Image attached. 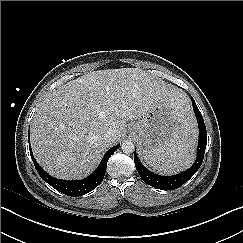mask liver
Returning a JSON list of instances; mask_svg holds the SVG:
<instances>
[{
  "label": "liver",
  "instance_id": "liver-1",
  "mask_svg": "<svg viewBox=\"0 0 243 243\" xmlns=\"http://www.w3.org/2000/svg\"><path fill=\"white\" fill-rule=\"evenodd\" d=\"M159 102L169 103L180 123L192 122L187 95L140 68L98 70L58 87L38 106L30 141L50 175L81 179L95 170L104 152ZM114 137L105 141L107 130Z\"/></svg>",
  "mask_w": 243,
  "mask_h": 243
}]
</instances>
